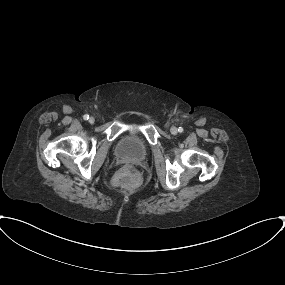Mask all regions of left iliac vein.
Returning <instances> with one entry per match:
<instances>
[{"instance_id": "obj_1", "label": "left iliac vein", "mask_w": 285, "mask_h": 285, "mask_svg": "<svg viewBox=\"0 0 285 285\" xmlns=\"http://www.w3.org/2000/svg\"><path fill=\"white\" fill-rule=\"evenodd\" d=\"M170 131H171V133L174 134V135L177 134V128L174 127V126L171 127Z\"/></svg>"}]
</instances>
